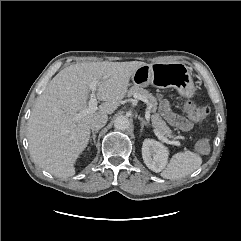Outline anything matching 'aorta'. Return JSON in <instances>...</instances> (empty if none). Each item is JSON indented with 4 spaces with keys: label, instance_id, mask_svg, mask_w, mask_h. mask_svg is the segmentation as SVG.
<instances>
[{
    "label": "aorta",
    "instance_id": "obj_1",
    "mask_svg": "<svg viewBox=\"0 0 241 241\" xmlns=\"http://www.w3.org/2000/svg\"><path fill=\"white\" fill-rule=\"evenodd\" d=\"M129 126H130V122L126 116L121 115L114 120V127L117 130H126L129 128Z\"/></svg>",
    "mask_w": 241,
    "mask_h": 241
}]
</instances>
